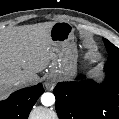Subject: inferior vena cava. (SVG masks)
Here are the masks:
<instances>
[{"instance_id":"inferior-vena-cava-1","label":"inferior vena cava","mask_w":119,"mask_h":119,"mask_svg":"<svg viewBox=\"0 0 119 119\" xmlns=\"http://www.w3.org/2000/svg\"><path fill=\"white\" fill-rule=\"evenodd\" d=\"M29 80L30 78L28 76H21L17 78L14 84L15 85H25Z\"/></svg>"}]
</instances>
